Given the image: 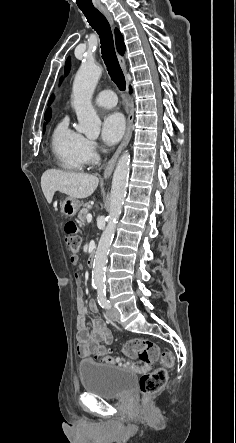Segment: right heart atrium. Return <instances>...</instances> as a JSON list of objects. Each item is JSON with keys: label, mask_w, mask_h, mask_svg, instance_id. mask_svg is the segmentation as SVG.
I'll return each instance as SVG.
<instances>
[{"label": "right heart atrium", "mask_w": 236, "mask_h": 443, "mask_svg": "<svg viewBox=\"0 0 236 443\" xmlns=\"http://www.w3.org/2000/svg\"><path fill=\"white\" fill-rule=\"evenodd\" d=\"M83 157L87 164H91L95 161L97 156V146L96 143L93 140L86 139L83 143Z\"/></svg>", "instance_id": "right-heart-atrium-1"}]
</instances>
